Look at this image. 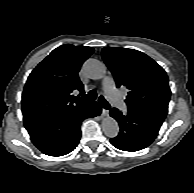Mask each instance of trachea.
Instances as JSON below:
<instances>
[{"label":"trachea","instance_id":"trachea-1","mask_svg":"<svg viewBox=\"0 0 194 193\" xmlns=\"http://www.w3.org/2000/svg\"><path fill=\"white\" fill-rule=\"evenodd\" d=\"M96 98H97V92L95 90H91L90 92H88V94L82 96L81 100L87 101V102H92V101L96 100ZM99 102L103 108L110 109L109 103L104 99L103 96L99 97Z\"/></svg>","mask_w":194,"mask_h":193}]
</instances>
